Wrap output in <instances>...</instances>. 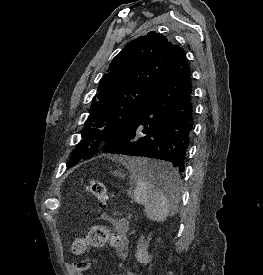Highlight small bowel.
Instances as JSON below:
<instances>
[{"mask_svg": "<svg viewBox=\"0 0 263 275\" xmlns=\"http://www.w3.org/2000/svg\"><path fill=\"white\" fill-rule=\"evenodd\" d=\"M102 219L107 221L115 235H116V242L114 244V248L117 252L118 257L121 260H124L127 256V249H128V231H129V223L125 219H113L108 214H103ZM128 275V274H123ZM137 275V274H132Z\"/></svg>", "mask_w": 263, "mask_h": 275, "instance_id": "obj_1", "label": "small bowel"}]
</instances>
